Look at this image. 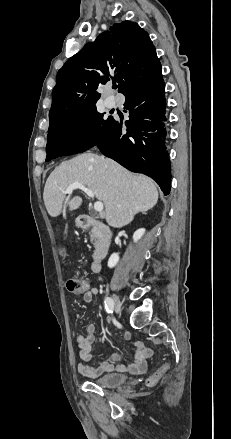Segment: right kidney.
Returning a JSON list of instances; mask_svg holds the SVG:
<instances>
[{"instance_id": "obj_1", "label": "right kidney", "mask_w": 231, "mask_h": 439, "mask_svg": "<svg viewBox=\"0 0 231 439\" xmlns=\"http://www.w3.org/2000/svg\"><path fill=\"white\" fill-rule=\"evenodd\" d=\"M145 233V229L144 228H140L138 230H136L133 234V240L134 242H137ZM119 261V255L117 253H113L109 260H108V267L109 268H113L117 265Z\"/></svg>"}]
</instances>
